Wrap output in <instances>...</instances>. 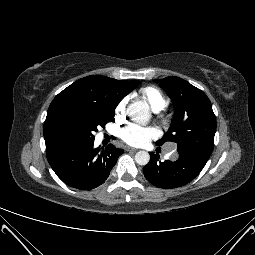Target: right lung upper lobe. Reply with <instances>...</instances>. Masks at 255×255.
<instances>
[{"mask_svg": "<svg viewBox=\"0 0 255 255\" xmlns=\"http://www.w3.org/2000/svg\"><path fill=\"white\" fill-rule=\"evenodd\" d=\"M131 82L91 75L77 80L60 92L50 104L44 122L46 149L74 140L72 122L81 109L93 105L116 108L131 92Z\"/></svg>", "mask_w": 255, "mask_h": 255, "instance_id": "obj_1", "label": "right lung upper lobe"}]
</instances>
